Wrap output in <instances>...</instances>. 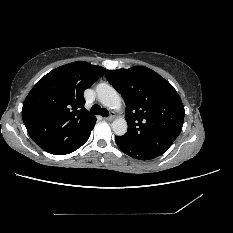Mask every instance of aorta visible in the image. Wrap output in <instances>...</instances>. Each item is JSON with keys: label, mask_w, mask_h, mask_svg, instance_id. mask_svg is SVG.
<instances>
[{"label": "aorta", "mask_w": 233, "mask_h": 233, "mask_svg": "<svg viewBox=\"0 0 233 233\" xmlns=\"http://www.w3.org/2000/svg\"><path fill=\"white\" fill-rule=\"evenodd\" d=\"M97 98L101 104L110 108L119 110L121 108V97L119 93L109 84L100 83L96 87ZM112 130L118 135L122 136L127 132V122L124 118L120 117L112 122Z\"/></svg>", "instance_id": "aorta-1"}]
</instances>
